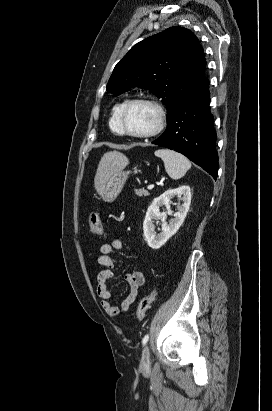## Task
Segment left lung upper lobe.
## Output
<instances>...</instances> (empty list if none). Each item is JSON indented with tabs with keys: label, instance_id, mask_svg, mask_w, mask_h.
<instances>
[{
	"label": "left lung upper lobe",
	"instance_id": "left-lung-upper-lobe-1",
	"mask_svg": "<svg viewBox=\"0 0 272 411\" xmlns=\"http://www.w3.org/2000/svg\"><path fill=\"white\" fill-rule=\"evenodd\" d=\"M204 51L188 29L171 27L133 46L115 66L106 90L115 96L129 88L153 91L167 108V122L179 105L207 80Z\"/></svg>",
	"mask_w": 272,
	"mask_h": 411
}]
</instances>
